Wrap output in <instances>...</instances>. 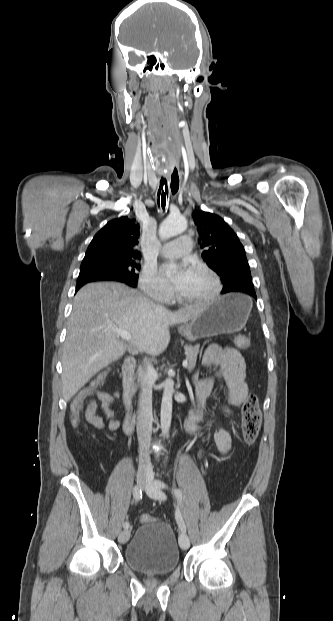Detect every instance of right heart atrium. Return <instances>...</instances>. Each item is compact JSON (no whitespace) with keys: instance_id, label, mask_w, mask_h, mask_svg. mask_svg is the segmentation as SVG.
<instances>
[{"instance_id":"d8ad5b80","label":"right heart atrium","mask_w":333,"mask_h":621,"mask_svg":"<svg viewBox=\"0 0 333 621\" xmlns=\"http://www.w3.org/2000/svg\"><path fill=\"white\" fill-rule=\"evenodd\" d=\"M139 286L145 295L156 301L168 302L172 298L171 289L159 279L152 268H145L142 271Z\"/></svg>"}]
</instances>
